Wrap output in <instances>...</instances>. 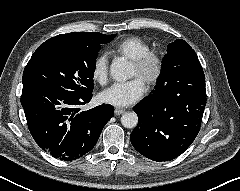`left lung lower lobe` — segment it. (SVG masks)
Wrapping results in <instances>:
<instances>
[{"mask_svg": "<svg viewBox=\"0 0 240 191\" xmlns=\"http://www.w3.org/2000/svg\"><path fill=\"white\" fill-rule=\"evenodd\" d=\"M206 105L203 71L180 74L134 106L138 124L133 147L153 161L181 155L196 138Z\"/></svg>", "mask_w": 240, "mask_h": 191, "instance_id": "obj_1", "label": "left lung lower lobe"}]
</instances>
